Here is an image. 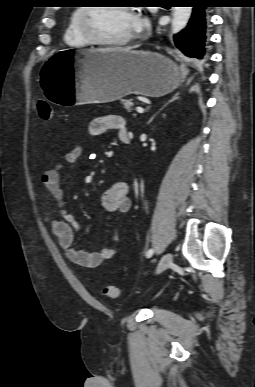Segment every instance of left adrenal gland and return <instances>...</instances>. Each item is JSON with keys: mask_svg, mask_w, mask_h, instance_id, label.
Listing matches in <instances>:
<instances>
[{"mask_svg": "<svg viewBox=\"0 0 255 387\" xmlns=\"http://www.w3.org/2000/svg\"><path fill=\"white\" fill-rule=\"evenodd\" d=\"M177 99H178V96H177V95L173 96L171 100H169L165 105H163V107H161V108L159 109V111H157V112H156V113L148 120L147 125H149V124L154 120V118L156 117V115H157L158 113H160V112H161L168 104H170L171 102H173V101H175V100H177Z\"/></svg>", "mask_w": 255, "mask_h": 387, "instance_id": "left-adrenal-gland-1", "label": "left adrenal gland"}]
</instances>
